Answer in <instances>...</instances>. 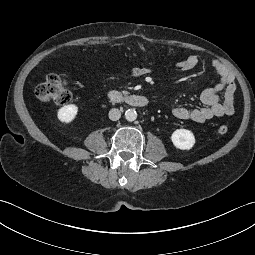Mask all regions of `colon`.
Segmentation results:
<instances>
[{
    "instance_id": "colon-1",
    "label": "colon",
    "mask_w": 255,
    "mask_h": 255,
    "mask_svg": "<svg viewBox=\"0 0 255 255\" xmlns=\"http://www.w3.org/2000/svg\"><path fill=\"white\" fill-rule=\"evenodd\" d=\"M36 97L43 102H52L65 105L71 100V92L67 88L65 79L56 73L46 76L45 80L35 88ZM228 132L226 125L218 127V133L224 135Z\"/></svg>"
}]
</instances>
